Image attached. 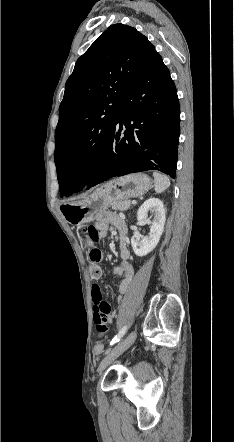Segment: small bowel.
I'll use <instances>...</instances> for the list:
<instances>
[{
  "mask_svg": "<svg viewBox=\"0 0 234 442\" xmlns=\"http://www.w3.org/2000/svg\"><path fill=\"white\" fill-rule=\"evenodd\" d=\"M110 226L115 227L121 237V244L119 247V256L121 262L113 270V272L116 275H119L121 277L119 281L120 295L117 298L118 302L120 303L123 300L122 295L127 291L131 283L134 271L131 264L129 263L130 250L128 249L125 243V238L127 234V226L125 220L118 214L112 212L100 213L97 217V221L95 224V228L98 231V238L105 237L107 230ZM101 259L102 256L100 260ZM94 287L99 288L98 285H93L92 290ZM116 315H117L116 311H112L111 309L107 314H93L92 316L93 325L95 328H97V331L99 333H106L107 328H109L108 323H111L115 319ZM99 337H102V334H99Z\"/></svg>",
  "mask_w": 234,
  "mask_h": 442,
  "instance_id": "c3829d8e",
  "label": "small bowel"
}]
</instances>
